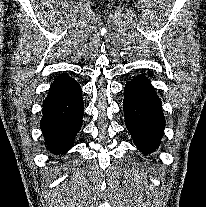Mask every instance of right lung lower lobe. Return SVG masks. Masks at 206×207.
Masks as SVG:
<instances>
[{
  "label": "right lung lower lobe",
  "instance_id": "1",
  "mask_svg": "<svg viewBox=\"0 0 206 207\" xmlns=\"http://www.w3.org/2000/svg\"><path fill=\"white\" fill-rule=\"evenodd\" d=\"M81 87L68 75H59L43 102L41 130L54 154L66 153L82 126L84 104Z\"/></svg>",
  "mask_w": 206,
  "mask_h": 207
}]
</instances>
